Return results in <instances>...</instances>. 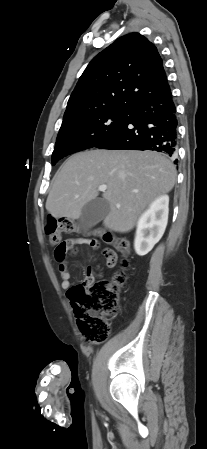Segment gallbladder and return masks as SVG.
<instances>
[{"label": "gallbladder", "instance_id": "obj_1", "mask_svg": "<svg viewBox=\"0 0 207 449\" xmlns=\"http://www.w3.org/2000/svg\"><path fill=\"white\" fill-rule=\"evenodd\" d=\"M109 203L103 198H95L84 205L79 218L84 229H89L103 220L109 213Z\"/></svg>", "mask_w": 207, "mask_h": 449}]
</instances>
